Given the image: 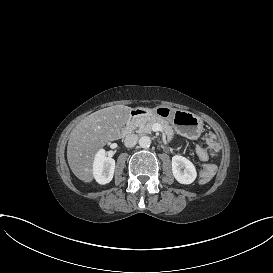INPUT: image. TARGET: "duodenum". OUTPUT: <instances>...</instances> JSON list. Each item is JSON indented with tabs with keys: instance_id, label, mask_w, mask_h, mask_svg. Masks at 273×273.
<instances>
[{
	"instance_id": "410a0bca",
	"label": "duodenum",
	"mask_w": 273,
	"mask_h": 273,
	"mask_svg": "<svg viewBox=\"0 0 273 273\" xmlns=\"http://www.w3.org/2000/svg\"><path fill=\"white\" fill-rule=\"evenodd\" d=\"M147 114V111L144 109H133L130 113L129 119L127 121L126 126L123 128L122 130V136H127L129 135L132 130H133V126H134V122L135 120L140 117V116H144Z\"/></svg>"
}]
</instances>
